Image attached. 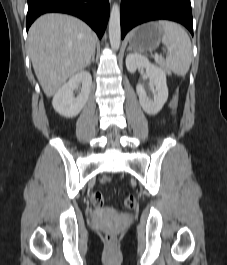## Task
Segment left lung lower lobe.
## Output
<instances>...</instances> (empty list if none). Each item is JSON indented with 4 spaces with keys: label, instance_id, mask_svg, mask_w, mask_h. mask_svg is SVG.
I'll list each match as a JSON object with an SVG mask.
<instances>
[{
    "label": "left lung lower lobe",
    "instance_id": "1",
    "mask_svg": "<svg viewBox=\"0 0 227 265\" xmlns=\"http://www.w3.org/2000/svg\"><path fill=\"white\" fill-rule=\"evenodd\" d=\"M157 19L181 23L193 35L190 0H122L121 37L136 25Z\"/></svg>",
    "mask_w": 227,
    "mask_h": 265
}]
</instances>
